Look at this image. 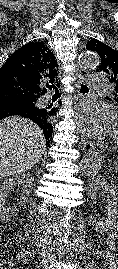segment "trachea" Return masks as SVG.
<instances>
[{"label": "trachea", "mask_w": 118, "mask_h": 269, "mask_svg": "<svg viewBox=\"0 0 118 269\" xmlns=\"http://www.w3.org/2000/svg\"><path fill=\"white\" fill-rule=\"evenodd\" d=\"M47 88H49L50 90L53 89L55 90V94L54 95H61V90L59 89L58 85H47ZM80 92L82 93H87L89 92V88L83 84L80 85Z\"/></svg>", "instance_id": "trachea-1"}]
</instances>
